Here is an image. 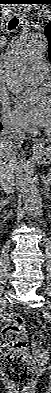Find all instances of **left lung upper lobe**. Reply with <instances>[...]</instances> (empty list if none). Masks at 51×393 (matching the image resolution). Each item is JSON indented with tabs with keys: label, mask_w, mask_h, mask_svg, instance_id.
<instances>
[{
	"label": "left lung upper lobe",
	"mask_w": 51,
	"mask_h": 393,
	"mask_svg": "<svg viewBox=\"0 0 51 393\" xmlns=\"http://www.w3.org/2000/svg\"><path fill=\"white\" fill-rule=\"evenodd\" d=\"M44 33L48 39V56L51 61V23L46 26Z\"/></svg>",
	"instance_id": "1"
}]
</instances>
